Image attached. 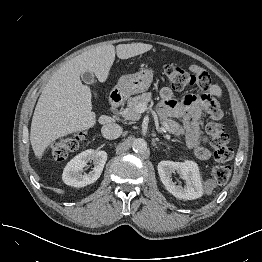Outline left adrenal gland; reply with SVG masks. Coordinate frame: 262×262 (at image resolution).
Returning <instances> with one entry per match:
<instances>
[{
  "instance_id": "obj_1",
  "label": "left adrenal gland",
  "mask_w": 262,
  "mask_h": 262,
  "mask_svg": "<svg viewBox=\"0 0 262 262\" xmlns=\"http://www.w3.org/2000/svg\"><path fill=\"white\" fill-rule=\"evenodd\" d=\"M159 145H166V144H164V143H162V142H159ZM167 146V145H166Z\"/></svg>"
}]
</instances>
